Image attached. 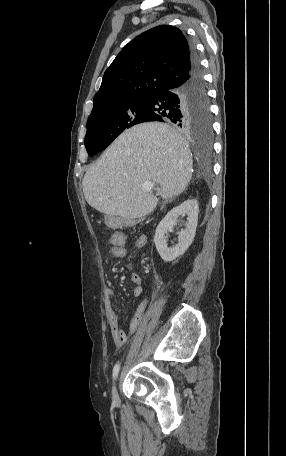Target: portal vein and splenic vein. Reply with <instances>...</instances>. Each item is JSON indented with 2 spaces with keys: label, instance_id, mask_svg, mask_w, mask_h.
<instances>
[{
  "label": "portal vein and splenic vein",
  "instance_id": "obj_1",
  "mask_svg": "<svg viewBox=\"0 0 286 456\" xmlns=\"http://www.w3.org/2000/svg\"><path fill=\"white\" fill-rule=\"evenodd\" d=\"M154 185H155V183L152 182V181H145L142 184V189H143L144 192H148V191H151L154 188Z\"/></svg>",
  "mask_w": 286,
  "mask_h": 456
}]
</instances>
